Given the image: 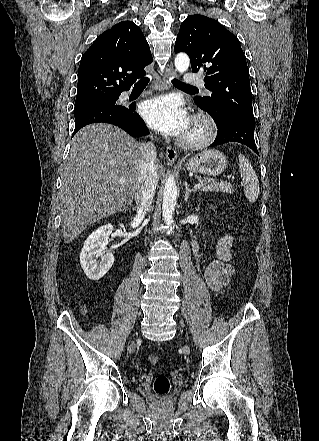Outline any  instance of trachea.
Returning <instances> with one entry per match:
<instances>
[{
  "mask_svg": "<svg viewBox=\"0 0 319 441\" xmlns=\"http://www.w3.org/2000/svg\"><path fill=\"white\" fill-rule=\"evenodd\" d=\"M148 83H149V78L145 77V78L140 79V80L134 85V87H135V88L146 87V86L148 85ZM172 83H173V85H175V86H177V87H180V88L196 89L195 87L190 86V85H187V84H185V83H183V82H180V81L177 80V79H173V80H172Z\"/></svg>",
  "mask_w": 319,
  "mask_h": 441,
  "instance_id": "trachea-1",
  "label": "trachea"
}]
</instances>
